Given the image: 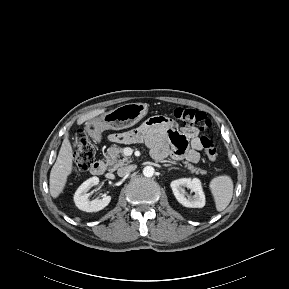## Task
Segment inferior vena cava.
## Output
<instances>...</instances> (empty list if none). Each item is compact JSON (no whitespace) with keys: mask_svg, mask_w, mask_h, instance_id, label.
<instances>
[{"mask_svg":"<svg viewBox=\"0 0 289 289\" xmlns=\"http://www.w3.org/2000/svg\"><path fill=\"white\" fill-rule=\"evenodd\" d=\"M135 169H136V165H129V166L121 167L117 170V174L118 176L123 177Z\"/></svg>","mask_w":289,"mask_h":289,"instance_id":"obj_1","label":"inferior vena cava"}]
</instances>
